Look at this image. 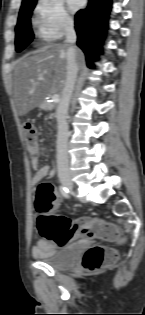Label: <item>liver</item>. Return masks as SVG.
Masks as SVG:
<instances>
[{"mask_svg":"<svg viewBox=\"0 0 145 315\" xmlns=\"http://www.w3.org/2000/svg\"><path fill=\"white\" fill-rule=\"evenodd\" d=\"M67 44H47L21 57L14 68L13 95L17 113L22 116L41 105L50 94H62L66 79ZM78 66L83 53L75 49ZM42 78V79H39Z\"/></svg>","mask_w":145,"mask_h":315,"instance_id":"1","label":"liver"}]
</instances>
